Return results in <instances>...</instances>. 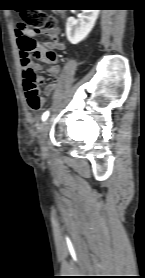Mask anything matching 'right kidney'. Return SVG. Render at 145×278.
Instances as JSON below:
<instances>
[{
	"instance_id": "1",
	"label": "right kidney",
	"mask_w": 145,
	"mask_h": 278,
	"mask_svg": "<svg viewBox=\"0 0 145 278\" xmlns=\"http://www.w3.org/2000/svg\"><path fill=\"white\" fill-rule=\"evenodd\" d=\"M99 10H82L78 19L69 17L66 23V35L71 44H78L93 29L98 18Z\"/></svg>"
}]
</instances>
